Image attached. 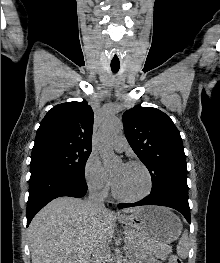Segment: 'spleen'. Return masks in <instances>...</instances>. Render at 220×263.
<instances>
[{"label":"spleen","mask_w":220,"mask_h":263,"mask_svg":"<svg viewBox=\"0 0 220 263\" xmlns=\"http://www.w3.org/2000/svg\"><path fill=\"white\" fill-rule=\"evenodd\" d=\"M188 250H189L188 233L187 231H184L183 235L181 236L179 240V245L177 247V253L182 258H185L188 254Z\"/></svg>","instance_id":"spleen-1"}]
</instances>
